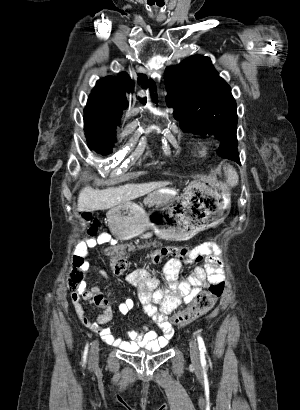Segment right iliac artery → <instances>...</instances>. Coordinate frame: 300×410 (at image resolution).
Returning <instances> with one entry per match:
<instances>
[{"label": "right iliac artery", "instance_id": "1", "mask_svg": "<svg viewBox=\"0 0 300 410\" xmlns=\"http://www.w3.org/2000/svg\"><path fill=\"white\" fill-rule=\"evenodd\" d=\"M87 353H88V345H86L85 350H84V354H83V362H86V357H87Z\"/></svg>", "mask_w": 300, "mask_h": 410}]
</instances>
